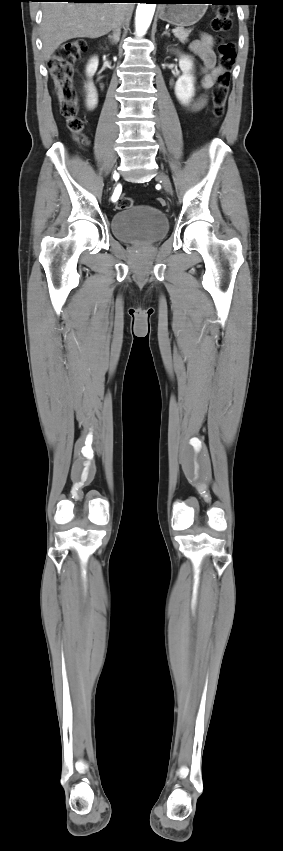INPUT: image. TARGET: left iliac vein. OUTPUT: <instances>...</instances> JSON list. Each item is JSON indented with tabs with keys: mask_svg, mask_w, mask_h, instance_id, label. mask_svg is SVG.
I'll return each instance as SVG.
<instances>
[{
	"mask_svg": "<svg viewBox=\"0 0 283 851\" xmlns=\"http://www.w3.org/2000/svg\"><path fill=\"white\" fill-rule=\"evenodd\" d=\"M157 177L161 180V182H162V185H163L164 189H165V190H166L169 194H171V195H172L173 190H172L171 182H170V180H169L168 176H167L164 172H161V171H160V172L157 174Z\"/></svg>",
	"mask_w": 283,
	"mask_h": 851,
	"instance_id": "obj_1",
	"label": "left iliac vein"
}]
</instances>
